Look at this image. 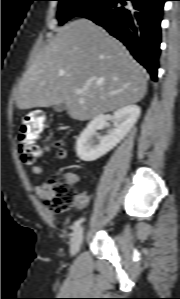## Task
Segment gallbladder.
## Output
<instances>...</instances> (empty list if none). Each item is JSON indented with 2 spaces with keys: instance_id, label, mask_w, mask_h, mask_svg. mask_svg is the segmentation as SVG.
Segmentation results:
<instances>
[{
  "instance_id": "1",
  "label": "gallbladder",
  "mask_w": 180,
  "mask_h": 299,
  "mask_svg": "<svg viewBox=\"0 0 180 299\" xmlns=\"http://www.w3.org/2000/svg\"><path fill=\"white\" fill-rule=\"evenodd\" d=\"M65 109V104H58V105H56L55 107H54V110L56 111V112H62L63 110Z\"/></svg>"
}]
</instances>
